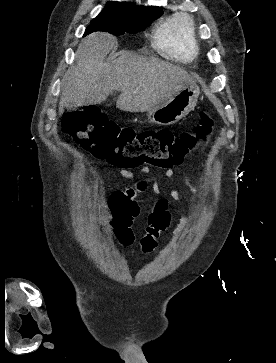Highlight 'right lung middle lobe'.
<instances>
[{
	"label": "right lung middle lobe",
	"mask_w": 276,
	"mask_h": 363,
	"mask_svg": "<svg viewBox=\"0 0 276 363\" xmlns=\"http://www.w3.org/2000/svg\"><path fill=\"white\" fill-rule=\"evenodd\" d=\"M162 14V8L106 5L100 14L91 20L85 35L96 31L114 35L139 32Z\"/></svg>",
	"instance_id": "dd1d6c3e"
}]
</instances>
